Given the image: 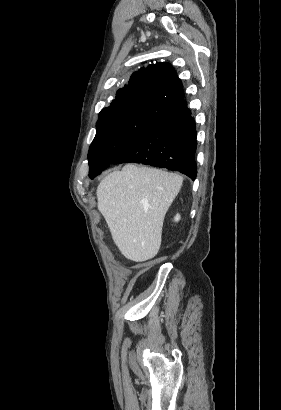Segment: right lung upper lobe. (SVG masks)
<instances>
[{
	"instance_id": "right-lung-upper-lobe-1",
	"label": "right lung upper lobe",
	"mask_w": 281,
	"mask_h": 410,
	"mask_svg": "<svg viewBox=\"0 0 281 410\" xmlns=\"http://www.w3.org/2000/svg\"><path fill=\"white\" fill-rule=\"evenodd\" d=\"M183 99L182 82L173 67L166 62H156L135 72L129 84L118 90L109 107L142 103L167 110Z\"/></svg>"
}]
</instances>
